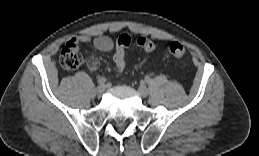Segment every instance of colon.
<instances>
[{
  "label": "colon",
  "mask_w": 259,
  "mask_h": 156,
  "mask_svg": "<svg viewBox=\"0 0 259 156\" xmlns=\"http://www.w3.org/2000/svg\"><path fill=\"white\" fill-rule=\"evenodd\" d=\"M136 43L145 52L150 53L154 50V43L146 37H138ZM131 44V37L127 34H121L116 39V50L114 54V62L119 72H123L125 63V49ZM169 52L178 59H184L186 50L179 42H172L169 45ZM61 65L69 71L76 70L82 63V57L77 48L66 45L60 55Z\"/></svg>",
  "instance_id": "1"
}]
</instances>
